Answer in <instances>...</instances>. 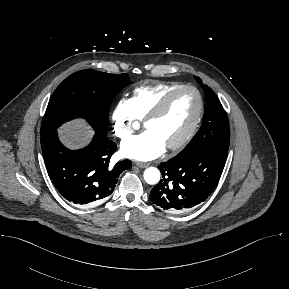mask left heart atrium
<instances>
[{
    "mask_svg": "<svg viewBox=\"0 0 289 289\" xmlns=\"http://www.w3.org/2000/svg\"><path fill=\"white\" fill-rule=\"evenodd\" d=\"M165 150L163 142L152 132H145L124 140L121 153L129 158L148 161L160 156Z\"/></svg>",
    "mask_w": 289,
    "mask_h": 289,
    "instance_id": "1",
    "label": "left heart atrium"
}]
</instances>
